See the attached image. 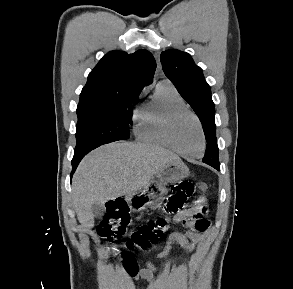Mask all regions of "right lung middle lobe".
<instances>
[{
	"mask_svg": "<svg viewBox=\"0 0 293 289\" xmlns=\"http://www.w3.org/2000/svg\"><path fill=\"white\" fill-rule=\"evenodd\" d=\"M135 97L79 103L75 152L91 151L106 143L128 139L132 115L126 109Z\"/></svg>",
	"mask_w": 293,
	"mask_h": 289,
	"instance_id": "1",
	"label": "right lung middle lobe"
}]
</instances>
